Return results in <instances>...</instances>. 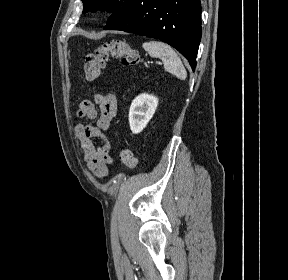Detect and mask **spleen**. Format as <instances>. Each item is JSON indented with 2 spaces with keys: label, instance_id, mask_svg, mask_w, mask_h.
<instances>
[{
  "label": "spleen",
  "instance_id": "spleen-1",
  "mask_svg": "<svg viewBox=\"0 0 288 280\" xmlns=\"http://www.w3.org/2000/svg\"><path fill=\"white\" fill-rule=\"evenodd\" d=\"M145 51L153 58H160L165 69L181 80H185L187 72L173 48L160 41H149L143 44Z\"/></svg>",
  "mask_w": 288,
  "mask_h": 280
}]
</instances>
